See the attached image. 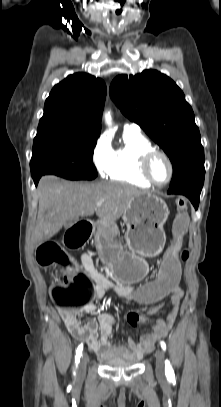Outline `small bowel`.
Instances as JSON below:
<instances>
[{"instance_id": "1", "label": "small bowel", "mask_w": 221, "mask_h": 407, "mask_svg": "<svg viewBox=\"0 0 221 407\" xmlns=\"http://www.w3.org/2000/svg\"><path fill=\"white\" fill-rule=\"evenodd\" d=\"M81 262L84 270L94 283L93 296L95 298L102 299L107 292L111 291L115 293L118 298L136 301L134 298V285L127 282L117 285L111 283L94 267L92 258L86 253L81 255ZM166 296H170L172 304L171 311L164 319H159L151 332L144 334L141 337L139 343L134 339H129L128 348L119 345H111L109 342V336L116 326V320L111 313H101L97 320H89L85 323H81L72 314L61 312V315L63 322L71 335L76 339L84 340L87 346L91 350L97 352L101 357L138 360L152 350L158 339L163 338L168 334L175 322L183 297V291L179 286H176V292H166ZM156 308L158 310H163L165 308V303L163 301H158L156 303ZM86 312L94 314L96 312V306L92 303H88L86 306ZM136 312L150 314L152 312V307L150 305H145L144 307L137 306ZM136 312L132 311L128 314L129 323L131 325L144 324L145 318L139 316Z\"/></svg>"}]
</instances>
